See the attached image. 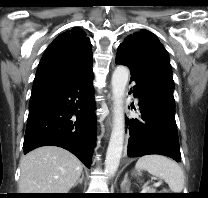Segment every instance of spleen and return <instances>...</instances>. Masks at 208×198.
<instances>
[{
    "mask_svg": "<svg viewBox=\"0 0 208 198\" xmlns=\"http://www.w3.org/2000/svg\"><path fill=\"white\" fill-rule=\"evenodd\" d=\"M135 168L147 170L150 174L164 179L173 193H181L184 188V173L173 160L162 155H146L138 159Z\"/></svg>",
    "mask_w": 208,
    "mask_h": 198,
    "instance_id": "1",
    "label": "spleen"
}]
</instances>
